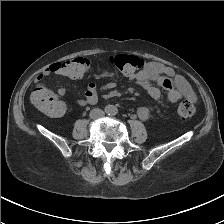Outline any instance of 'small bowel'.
I'll use <instances>...</instances> for the list:
<instances>
[{
  "mask_svg": "<svg viewBox=\"0 0 224 224\" xmlns=\"http://www.w3.org/2000/svg\"><path fill=\"white\" fill-rule=\"evenodd\" d=\"M51 74L62 75L61 62H54L45 67L37 75L35 82L41 86V83ZM127 77L130 82L141 86L156 101L161 100V89L167 92L170 102L175 103L182 98H186L191 102L196 101V95L187 80L182 75L176 73L173 68L163 63L149 61L142 69L127 75ZM116 86L117 82L115 80L108 81L102 86L90 83L84 97L76 99L74 102L80 106L95 104L100 91L112 90ZM66 93V88L61 87L58 89L59 96H64ZM151 113L152 109L146 106H141L137 109V115L142 121H148Z\"/></svg>",
  "mask_w": 224,
  "mask_h": 224,
  "instance_id": "1",
  "label": "small bowel"
}]
</instances>
